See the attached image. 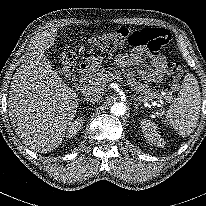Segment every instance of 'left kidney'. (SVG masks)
<instances>
[{"instance_id":"left-kidney-1","label":"left kidney","mask_w":206,"mask_h":206,"mask_svg":"<svg viewBox=\"0 0 206 206\" xmlns=\"http://www.w3.org/2000/svg\"><path fill=\"white\" fill-rule=\"evenodd\" d=\"M141 128L144 134L146 141L150 145L154 146H163L164 140L161 138V135L158 133L157 125L150 120L143 119L141 121Z\"/></svg>"}]
</instances>
